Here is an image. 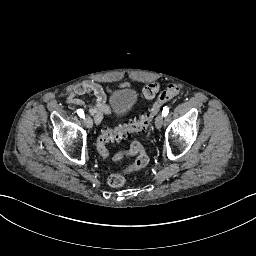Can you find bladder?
Listing matches in <instances>:
<instances>
[{
    "label": "bladder",
    "instance_id": "31cf9c89",
    "mask_svg": "<svg viewBox=\"0 0 256 256\" xmlns=\"http://www.w3.org/2000/svg\"><path fill=\"white\" fill-rule=\"evenodd\" d=\"M135 101V97L128 91L115 94L112 99V110L118 119L124 117L127 108Z\"/></svg>",
    "mask_w": 256,
    "mask_h": 256
}]
</instances>
